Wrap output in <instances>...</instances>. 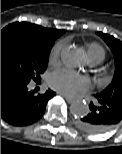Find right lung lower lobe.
Segmentation results:
<instances>
[{
  "instance_id": "obj_1",
  "label": "right lung lower lobe",
  "mask_w": 122,
  "mask_h": 154,
  "mask_svg": "<svg viewBox=\"0 0 122 154\" xmlns=\"http://www.w3.org/2000/svg\"><path fill=\"white\" fill-rule=\"evenodd\" d=\"M54 95L50 89L36 94L28 84L1 80V118L14 126L33 124L43 116L48 100Z\"/></svg>"
}]
</instances>
